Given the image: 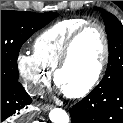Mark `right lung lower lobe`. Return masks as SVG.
Segmentation results:
<instances>
[{
  "mask_svg": "<svg viewBox=\"0 0 123 123\" xmlns=\"http://www.w3.org/2000/svg\"><path fill=\"white\" fill-rule=\"evenodd\" d=\"M31 102L32 99L19 82H1V122L19 114Z\"/></svg>",
  "mask_w": 123,
  "mask_h": 123,
  "instance_id": "right-lung-lower-lobe-1",
  "label": "right lung lower lobe"
}]
</instances>
